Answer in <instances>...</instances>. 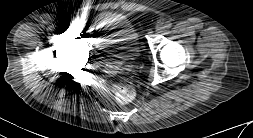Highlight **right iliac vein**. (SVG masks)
<instances>
[{
    "label": "right iliac vein",
    "instance_id": "right-iliac-vein-1",
    "mask_svg": "<svg viewBox=\"0 0 253 138\" xmlns=\"http://www.w3.org/2000/svg\"><path fill=\"white\" fill-rule=\"evenodd\" d=\"M71 29H72L73 31H77V30L79 29V26H78L77 24H73V25L71 26Z\"/></svg>",
    "mask_w": 253,
    "mask_h": 138
}]
</instances>
